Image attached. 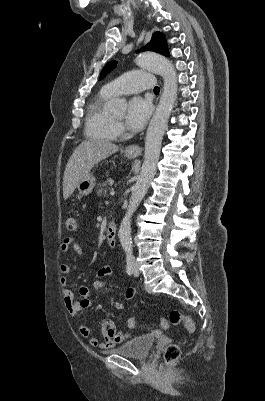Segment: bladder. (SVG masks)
I'll return each mask as SVG.
<instances>
[{
	"label": "bladder",
	"instance_id": "obj_1",
	"mask_svg": "<svg viewBox=\"0 0 265 401\" xmlns=\"http://www.w3.org/2000/svg\"><path fill=\"white\" fill-rule=\"evenodd\" d=\"M154 344L155 339L152 336H139L123 346L110 349V351L124 356L146 357Z\"/></svg>",
	"mask_w": 265,
	"mask_h": 401
}]
</instances>
